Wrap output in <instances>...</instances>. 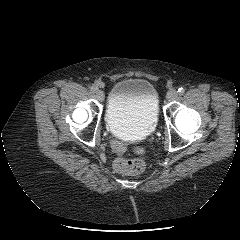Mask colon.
<instances>
[{
	"mask_svg": "<svg viewBox=\"0 0 240 240\" xmlns=\"http://www.w3.org/2000/svg\"><path fill=\"white\" fill-rule=\"evenodd\" d=\"M147 150H138V156L135 158H117L114 162V168L117 172L127 175H135L144 171L146 167Z\"/></svg>",
	"mask_w": 240,
	"mask_h": 240,
	"instance_id": "obj_1",
	"label": "colon"
}]
</instances>
